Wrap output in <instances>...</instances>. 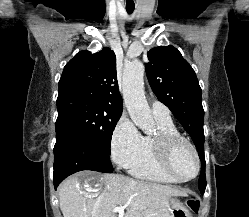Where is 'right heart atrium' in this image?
<instances>
[{
  "label": "right heart atrium",
  "instance_id": "right-heart-atrium-1",
  "mask_svg": "<svg viewBox=\"0 0 249 217\" xmlns=\"http://www.w3.org/2000/svg\"><path fill=\"white\" fill-rule=\"evenodd\" d=\"M142 144V135L126 115L122 114L116 122L110 140L114 162L121 168H128Z\"/></svg>",
  "mask_w": 249,
  "mask_h": 217
}]
</instances>
